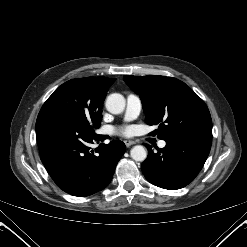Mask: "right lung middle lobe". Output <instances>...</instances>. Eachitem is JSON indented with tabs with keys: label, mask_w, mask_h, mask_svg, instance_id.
Wrapping results in <instances>:
<instances>
[{
	"label": "right lung middle lobe",
	"mask_w": 247,
	"mask_h": 247,
	"mask_svg": "<svg viewBox=\"0 0 247 247\" xmlns=\"http://www.w3.org/2000/svg\"><path fill=\"white\" fill-rule=\"evenodd\" d=\"M104 96L83 78L72 79L60 87L43 104L41 109H56L97 129L102 119Z\"/></svg>",
	"instance_id": "1"
}]
</instances>
